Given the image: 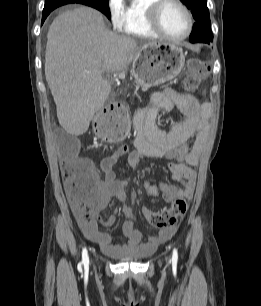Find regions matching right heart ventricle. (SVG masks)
I'll return each instance as SVG.
<instances>
[{"instance_id":"obj_1","label":"right heart ventricle","mask_w":261,"mask_h":306,"mask_svg":"<svg viewBox=\"0 0 261 306\" xmlns=\"http://www.w3.org/2000/svg\"><path fill=\"white\" fill-rule=\"evenodd\" d=\"M154 0H132L124 8L122 32L139 38H156L148 22L147 8Z\"/></svg>"}]
</instances>
